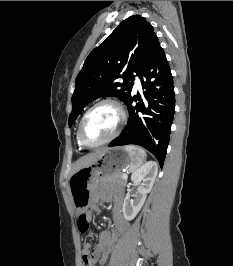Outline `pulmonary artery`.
Segmentation results:
<instances>
[{
  "mask_svg": "<svg viewBox=\"0 0 233 266\" xmlns=\"http://www.w3.org/2000/svg\"><path fill=\"white\" fill-rule=\"evenodd\" d=\"M140 88H141V82H140L139 78L136 77L134 80V90H138Z\"/></svg>",
  "mask_w": 233,
  "mask_h": 266,
  "instance_id": "1",
  "label": "pulmonary artery"
}]
</instances>
